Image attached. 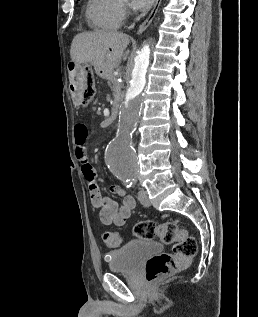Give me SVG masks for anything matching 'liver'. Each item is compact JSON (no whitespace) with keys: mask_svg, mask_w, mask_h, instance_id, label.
I'll list each match as a JSON object with an SVG mask.
<instances>
[{"mask_svg":"<svg viewBox=\"0 0 258 317\" xmlns=\"http://www.w3.org/2000/svg\"><path fill=\"white\" fill-rule=\"evenodd\" d=\"M129 40L128 34L118 30L79 32L72 40L71 58L78 64L90 62L103 72H111L118 66Z\"/></svg>","mask_w":258,"mask_h":317,"instance_id":"liver-1","label":"liver"}]
</instances>
